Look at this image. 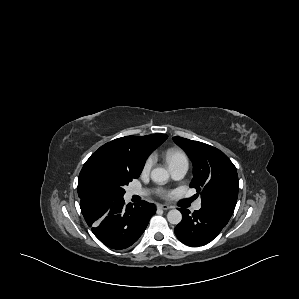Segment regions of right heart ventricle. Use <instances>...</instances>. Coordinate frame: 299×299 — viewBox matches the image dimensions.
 Segmentation results:
<instances>
[{
    "instance_id": "e07e8e85",
    "label": "right heart ventricle",
    "mask_w": 299,
    "mask_h": 299,
    "mask_svg": "<svg viewBox=\"0 0 299 299\" xmlns=\"http://www.w3.org/2000/svg\"><path fill=\"white\" fill-rule=\"evenodd\" d=\"M165 159L170 168L181 163L188 164V158L186 154L178 148L168 149L165 152Z\"/></svg>"
}]
</instances>
